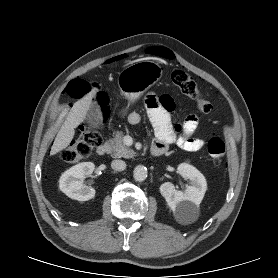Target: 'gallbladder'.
Listing matches in <instances>:
<instances>
[{
  "label": "gallbladder",
  "instance_id": "gallbladder-1",
  "mask_svg": "<svg viewBox=\"0 0 278 278\" xmlns=\"http://www.w3.org/2000/svg\"><path fill=\"white\" fill-rule=\"evenodd\" d=\"M85 122L92 129H99L102 126L103 116L101 107L97 103H91L85 118Z\"/></svg>",
  "mask_w": 278,
  "mask_h": 278
}]
</instances>
